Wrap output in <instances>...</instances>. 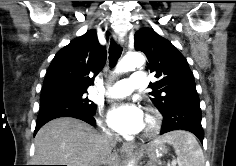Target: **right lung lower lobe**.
I'll return each instance as SVG.
<instances>
[{"instance_id": "98d812e1", "label": "right lung lower lobe", "mask_w": 236, "mask_h": 166, "mask_svg": "<svg viewBox=\"0 0 236 166\" xmlns=\"http://www.w3.org/2000/svg\"><path fill=\"white\" fill-rule=\"evenodd\" d=\"M94 114L95 113L87 112L83 109H76V108L65 109V110L55 111V112L39 113L38 118H37L36 128H35V131H34V136L37 133V131L45 123H47L48 121L53 120L55 118H59V117H73V118L83 120V121L89 123L92 126H95L96 121L93 117Z\"/></svg>"}]
</instances>
